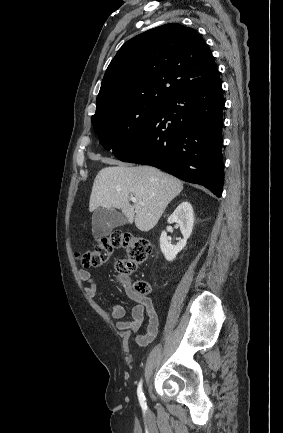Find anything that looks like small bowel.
I'll return each mask as SVG.
<instances>
[{"label":"small bowel","instance_id":"1","mask_svg":"<svg viewBox=\"0 0 283 433\" xmlns=\"http://www.w3.org/2000/svg\"><path fill=\"white\" fill-rule=\"evenodd\" d=\"M79 278L86 283L85 293L89 297H94L96 294V284L88 270L82 269L79 271ZM122 284L126 295L135 303L131 311V320H122L126 315V310L123 305L111 303L109 305L111 316L116 320V328L120 331L136 332L141 327L145 317L148 319L146 333L138 335L136 341L141 346H146L152 342L159 332V316L154 307L153 301L149 296H143L134 292L131 287L130 279L123 278Z\"/></svg>","mask_w":283,"mask_h":433}]
</instances>
